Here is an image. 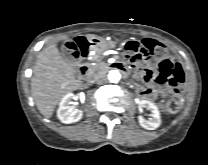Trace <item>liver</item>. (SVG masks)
I'll list each match as a JSON object with an SVG mask.
<instances>
[{
	"label": "liver",
	"mask_w": 208,
	"mask_h": 165,
	"mask_svg": "<svg viewBox=\"0 0 208 165\" xmlns=\"http://www.w3.org/2000/svg\"><path fill=\"white\" fill-rule=\"evenodd\" d=\"M78 88L75 70L62 58L58 48L50 45L43 49L37 57L31 78L32 96L40 113L50 118L62 98Z\"/></svg>",
	"instance_id": "liver-1"
}]
</instances>
